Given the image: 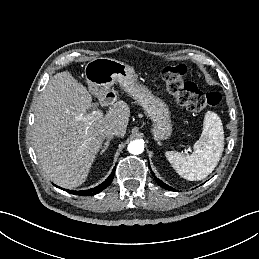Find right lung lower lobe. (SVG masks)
<instances>
[{"label": "right lung lower lobe", "instance_id": "obj_1", "mask_svg": "<svg viewBox=\"0 0 259 259\" xmlns=\"http://www.w3.org/2000/svg\"><path fill=\"white\" fill-rule=\"evenodd\" d=\"M115 170L116 167H114L112 173L110 174V176L99 186L92 188V189H88V190H81V191H73V190H66L68 193L74 194V195H82V196H91V195H95L99 192H101L102 190H104L107 186H109L114 178L115 175ZM64 190V189H63Z\"/></svg>", "mask_w": 259, "mask_h": 259}]
</instances>
